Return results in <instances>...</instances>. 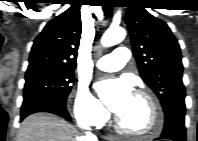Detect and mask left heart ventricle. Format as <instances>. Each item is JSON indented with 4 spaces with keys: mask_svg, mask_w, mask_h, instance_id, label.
I'll return each mask as SVG.
<instances>
[{
    "mask_svg": "<svg viewBox=\"0 0 198 141\" xmlns=\"http://www.w3.org/2000/svg\"><path fill=\"white\" fill-rule=\"evenodd\" d=\"M118 116L132 130L146 131L151 127L150 107L145 99L136 95Z\"/></svg>",
    "mask_w": 198,
    "mask_h": 141,
    "instance_id": "left-heart-ventricle-1",
    "label": "left heart ventricle"
}]
</instances>
